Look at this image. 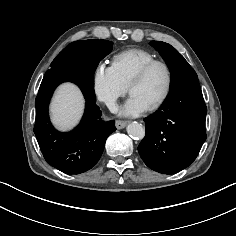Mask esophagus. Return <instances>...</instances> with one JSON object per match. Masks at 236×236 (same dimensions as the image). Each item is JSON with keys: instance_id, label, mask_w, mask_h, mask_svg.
<instances>
[{"instance_id": "34e87169", "label": "esophagus", "mask_w": 236, "mask_h": 236, "mask_svg": "<svg viewBox=\"0 0 236 236\" xmlns=\"http://www.w3.org/2000/svg\"><path fill=\"white\" fill-rule=\"evenodd\" d=\"M127 124H128V122L123 121V120H116V122H115V126L117 129H123Z\"/></svg>"}]
</instances>
